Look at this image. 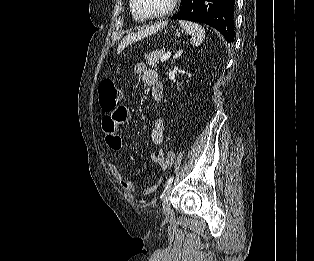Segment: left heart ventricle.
I'll use <instances>...</instances> for the list:
<instances>
[{
	"instance_id": "1",
	"label": "left heart ventricle",
	"mask_w": 314,
	"mask_h": 261,
	"mask_svg": "<svg viewBox=\"0 0 314 261\" xmlns=\"http://www.w3.org/2000/svg\"><path fill=\"white\" fill-rule=\"evenodd\" d=\"M170 0H136L138 9L144 14H153L165 9Z\"/></svg>"
}]
</instances>
